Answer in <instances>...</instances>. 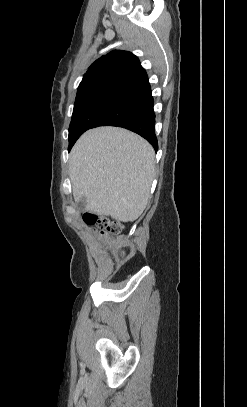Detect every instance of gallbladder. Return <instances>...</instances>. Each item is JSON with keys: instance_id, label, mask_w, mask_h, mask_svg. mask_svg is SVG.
<instances>
[{"instance_id": "gallbladder-1", "label": "gallbladder", "mask_w": 247, "mask_h": 407, "mask_svg": "<svg viewBox=\"0 0 247 407\" xmlns=\"http://www.w3.org/2000/svg\"><path fill=\"white\" fill-rule=\"evenodd\" d=\"M86 206V198L83 197L77 204L78 209L83 210Z\"/></svg>"}]
</instances>
